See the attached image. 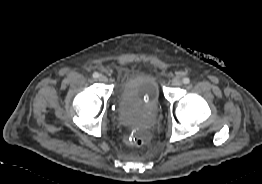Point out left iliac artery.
<instances>
[{
    "label": "left iliac artery",
    "mask_w": 262,
    "mask_h": 184,
    "mask_svg": "<svg viewBox=\"0 0 262 184\" xmlns=\"http://www.w3.org/2000/svg\"><path fill=\"white\" fill-rule=\"evenodd\" d=\"M183 83L184 84H189L190 83V79L188 77L183 78Z\"/></svg>",
    "instance_id": "44dca946"
}]
</instances>
